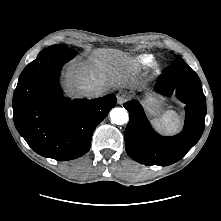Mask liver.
<instances>
[{
  "label": "liver",
  "mask_w": 221,
  "mask_h": 221,
  "mask_svg": "<svg viewBox=\"0 0 221 221\" xmlns=\"http://www.w3.org/2000/svg\"><path fill=\"white\" fill-rule=\"evenodd\" d=\"M129 63L123 52L111 49H99L90 63L72 64L67 77L69 85L83 95V89L89 85H97L108 90L111 87L135 88L136 83L124 71Z\"/></svg>",
  "instance_id": "1"
}]
</instances>
